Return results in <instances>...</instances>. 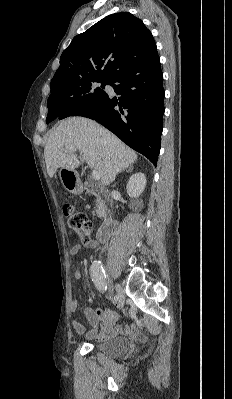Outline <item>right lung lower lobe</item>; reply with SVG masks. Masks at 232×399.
Returning a JSON list of instances; mask_svg holds the SVG:
<instances>
[{"mask_svg": "<svg viewBox=\"0 0 232 399\" xmlns=\"http://www.w3.org/2000/svg\"><path fill=\"white\" fill-rule=\"evenodd\" d=\"M163 74L157 50L110 78L118 99L107 94L98 104L70 116H83L105 126L155 166L161 145L164 114ZM68 116L61 113L57 118Z\"/></svg>", "mask_w": 232, "mask_h": 399, "instance_id": "obj_1", "label": "right lung lower lobe"}]
</instances>
